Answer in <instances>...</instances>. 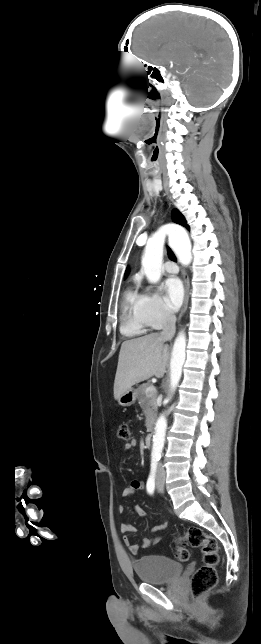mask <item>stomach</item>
<instances>
[{
  "label": "stomach",
  "instance_id": "1",
  "mask_svg": "<svg viewBox=\"0 0 261 644\" xmlns=\"http://www.w3.org/2000/svg\"><path fill=\"white\" fill-rule=\"evenodd\" d=\"M137 399V390L130 388L118 398V403L122 406H130Z\"/></svg>",
  "mask_w": 261,
  "mask_h": 644
}]
</instances>
